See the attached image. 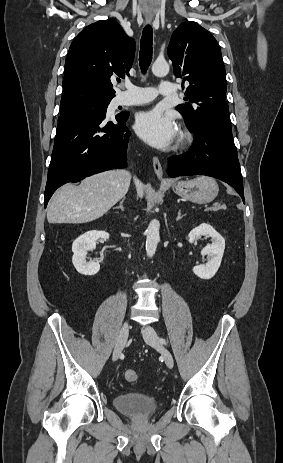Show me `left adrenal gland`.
I'll return each mask as SVG.
<instances>
[{"instance_id": "1", "label": "left adrenal gland", "mask_w": 283, "mask_h": 463, "mask_svg": "<svg viewBox=\"0 0 283 463\" xmlns=\"http://www.w3.org/2000/svg\"><path fill=\"white\" fill-rule=\"evenodd\" d=\"M183 216H184V215L181 214V210L179 209V210H178V213H177L176 221H179L180 219H182Z\"/></svg>"}]
</instances>
